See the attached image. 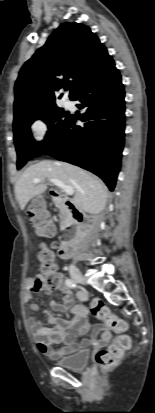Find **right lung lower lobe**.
Here are the masks:
<instances>
[{"label":"right lung lower lobe","mask_w":155,"mask_h":413,"mask_svg":"<svg viewBox=\"0 0 155 413\" xmlns=\"http://www.w3.org/2000/svg\"><path fill=\"white\" fill-rule=\"evenodd\" d=\"M124 87L115 68L84 86L73 101L84 109L42 153L89 170L113 191L120 169L125 129ZM80 119L84 124H77Z\"/></svg>","instance_id":"98d812e1"}]
</instances>
